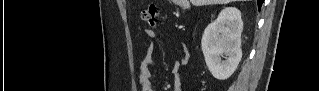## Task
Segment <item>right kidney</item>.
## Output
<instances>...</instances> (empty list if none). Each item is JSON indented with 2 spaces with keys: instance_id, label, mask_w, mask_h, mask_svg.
Listing matches in <instances>:
<instances>
[{
  "instance_id": "1",
  "label": "right kidney",
  "mask_w": 319,
  "mask_h": 91,
  "mask_svg": "<svg viewBox=\"0 0 319 91\" xmlns=\"http://www.w3.org/2000/svg\"><path fill=\"white\" fill-rule=\"evenodd\" d=\"M242 30L241 12L235 7L224 8L205 29L201 47L214 78L225 80L236 70L242 58ZM223 55L227 56L226 60H222Z\"/></svg>"
}]
</instances>
